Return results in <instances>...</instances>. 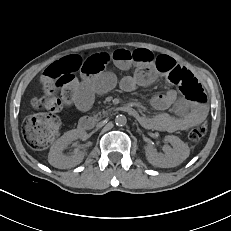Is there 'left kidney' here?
Instances as JSON below:
<instances>
[{
	"label": "left kidney",
	"mask_w": 231,
	"mask_h": 231,
	"mask_svg": "<svg viewBox=\"0 0 231 231\" xmlns=\"http://www.w3.org/2000/svg\"><path fill=\"white\" fill-rule=\"evenodd\" d=\"M165 141L169 142L172 147L165 145L163 151L165 154H159L152 146L145 147V154L148 162L156 167L171 168L181 164L190 153L186 143L176 136L168 135Z\"/></svg>",
	"instance_id": "5707ae66"
}]
</instances>
